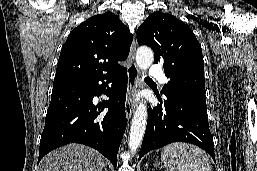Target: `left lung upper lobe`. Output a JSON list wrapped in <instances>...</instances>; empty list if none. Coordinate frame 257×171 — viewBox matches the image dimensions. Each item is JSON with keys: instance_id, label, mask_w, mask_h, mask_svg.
Instances as JSON below:
<instances>
[{"instance_id": "obj_1", "label": "left lung upper lobe", "mask_w": 257, "mask_h": 171, "mask_svg": "<svg viewBox=\"0 0 257 171\" xmlns=\"http://www.w3.org/2000/svg\"><path fill=\"white\" fill-rule=\"evenodd\" d=\"M139 45L150 46L154 63L164 62L170 81L162 92H190L206 98L202 49L194 33L176 17L154 12L138 28Z\"/></svg>"}]
</instances>
